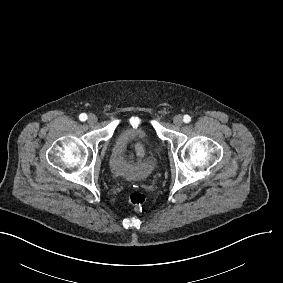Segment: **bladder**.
Instances as JSON below:
<instances>
[{
  "instance_id": "bladder-1",
  "label": "bladder",
  "mask_w": 283,
  "mask_h": 283,
  "mask_svg": "<svg viewBox=\"0 0 283 283\" xmlns=\"http://www.w3.org/2000/svg\"><path fill=\"white\" fill-rule=\"evenodd\" d=\"M135 140L149 141L154 145L153 153H148V156L142 158L139 163L125 161L123 156L128 145ZM112 153L114 163L109 167L111 174L127 181H135L136 174L140 172L155 174L158 170L160 155L154 141V136L142 125H130L120 129L112 139Z\"/></svg>"
}]
</instances>
